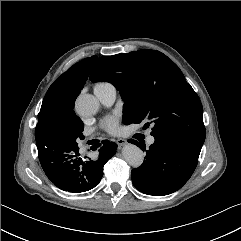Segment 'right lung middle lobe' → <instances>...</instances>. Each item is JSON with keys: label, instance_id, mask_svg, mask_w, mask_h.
<instances>
[{"label": "right lung middle lobe", "instance_id": "1", "mask_svg": "<svg viewBox=\"0 0 241 241\" xmlns=\"http://www.w3.org/2000/svg\"><path fill=\"white\" fill-rule=\"evenodd\" d=\"M51 129L44 139H37V144L65 145L78 148V142L84 139L83 122L74 112H59L49 115Z\"/></svg>", "mask_w": 241, "mask_h": 241}]
</instances>
